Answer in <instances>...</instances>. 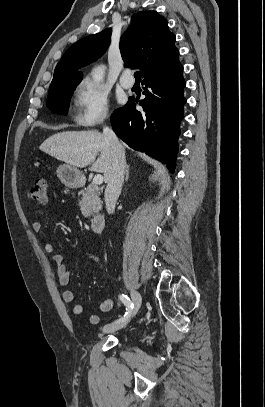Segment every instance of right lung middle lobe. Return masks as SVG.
<instances>
[{
	"instance_id": "dd1d6c3e",
	"label": "right lung middle lobe",
	"mask_w": 265,
	"mask_h": 407,
	"mask_svg": "<svg viewBox=\"0 0 265 407\" xmlns=\"http://www.w3.org/2000/svg\"><path fill=\"white\" fill-rule=\"evenodd\" d=\"M80 82H60L49 88L47 107L56 114H67L70 98Z\"/></svg>"
}]
</instances>
